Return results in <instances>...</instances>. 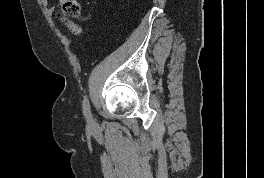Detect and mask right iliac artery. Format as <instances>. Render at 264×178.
Returning a JSON list of instances; mask_svg holds the SVG:
<instances>
[{
	"label": "right iliac artery",
	"mask_w": 264,
	"mask_h": 178,
	"mask_svg": "<svg viewBox=\"0 0 264 178\" xmlns=\"http://www.w3.org/2000/svg\"><path fill=\"white\" fill-rule=\"evenodd\" d=\"M83 113H84V116H85L87 122L91 123L92 122V116H91V111H90L89 100L87 97H85L83 100Z\"/></svg>",
	"instance_id": "obj_1"
}]
</instances>
